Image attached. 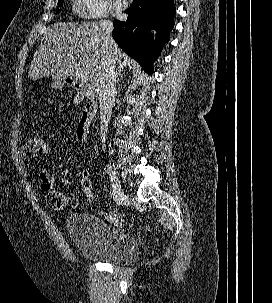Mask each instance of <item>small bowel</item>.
I'll list each match as a JSON object with an SVG mask.
<instances>
[{
	"instance_id": "small-bowel-1",
	"label": "small bowel",
	"mask_w": 272,
	"mask_h": 303,
	"mask_svg": "<svg viewBox=\"0 0 272 303\" xmlns=\"http://www.w3.org/2000/svg\"><path fill=\"white\" fill-rule=\"evenodd\" d=\"M18 153L20 158L23 160L27 159L30 155H35L33 150V138H29L25 144L20 146ZM23 169L25 174L28 175L29 174L28 167L24 166ZM37 178L40 184V189L44 194L53 191L54 178L52 177V175L47 169H41L38 172Z\"/></svg>"
}]
</instances>
